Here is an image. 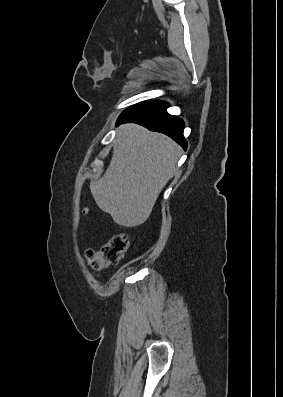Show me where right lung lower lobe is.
Returning <instances> with one entry per match:
<instances>
[{
	"label": "right lung lower lobe",
	"instance_id": "98d812e1",
	"mask_svg": "<svg viewBox=\"0 0 283 397\" xmlns=\"http://www.w3.org/2000/svg\"><path fill=\"white\" fill-rule=\"evenodd\" d=\"M168 106V103L163 101L139 103L125 110L119 116L116 125L127 122L138 123L151 131L168 135L186 149L187 142L183 137L184 121L168 114L166 111Z\"/></svg>",
	"mask_w": 283,
	"mask_h": 397
}]
</instances>
